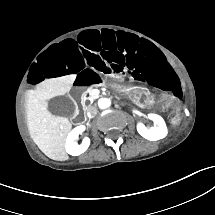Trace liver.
I'll return each instance as SVG.
<instances>
[{
  "mask_svg": "<svg viewBox=\"0 0 215 215\" xmlns=\"http://www.w3.org/2000/svg\"><path fill=\"white\" fill-rule=\"evenodd\" d=\"M75 74L47 79L30 90L26 105L27 128L38 148L49 158L58 156L68 159L65 152L66 138L72 125L66 117H56L47 110L46 99L70 91Z\"/></svg>",
  "mask_w": 215,
  "mask_h": 215,
  "instance_id": "6515ba94",
  "label": "liver"
}]
</instances>
